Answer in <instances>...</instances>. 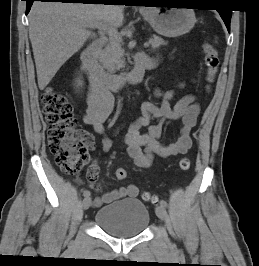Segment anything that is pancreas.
I'll return each instance as SVG.
<instances>
[{
    "label": "pancreas",
    "instance_id": "pancreas-1",
    "mask_svg": "<svg viewBox=\"0 0 259 266\" xmlns=\"http://www.w3.org/2000/svg\"><path fill=\"white\" fill-rule=\"evenodd\" d=\"M150 44L153 49H157L167 43L161 37L154 36ZM123 54L122 39L111 36L108 44L99 56V61L107 72L115 73L124 67Z\"/></svg>",
    "mask_w": 259,
    "mask_h": 266
}]
</instances>
